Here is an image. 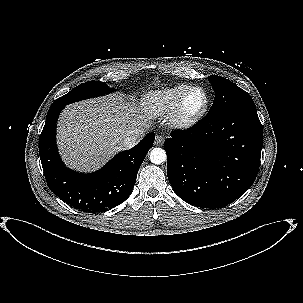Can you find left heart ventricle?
<instances>
[{
  "label": "left heart ventricle",
  "mask_w": 303,
  "mask_h": 303,
  "mask_svg": "<svg viewBox=\"0 0 303 303\" xmlns=\"http://www.w3.org/2000/svg\"><path fill=\"white\" fill-rule=\"evenodd\" d=\"M203 101H204L203 94L200 91L196 90L192 92L186 103L187 111L189 112L197 111L203 105Z\"/></svg>",
  "instance_id": "left-heart-ventricle-1"
}]
</instances>
